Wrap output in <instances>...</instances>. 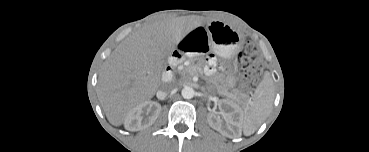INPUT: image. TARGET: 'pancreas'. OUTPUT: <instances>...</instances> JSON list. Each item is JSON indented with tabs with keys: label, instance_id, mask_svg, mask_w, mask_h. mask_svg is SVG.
I'll return each mask as SVG.
<instances>
[{
	"label": "pancreas",
	"instance_id": "1",
	"mask_svg": "<svg viewBox=\"0 0 369 152\" xmlns=\"http://www.w3.org/2000/svg\"><path fill=\"white\" fill-rule=\"evenodd\" d=\"M191 69V73L192 74H202V69L200 67L197 68H190ZM217 93L225 96L228 100H234V101H240L241 98H247L246 95L244 94H233L228 92L226 89H224L223 87H217Z\"/></svg>",
	"mask_w": 369,
	"mask_h": 152
}]
</instances>
